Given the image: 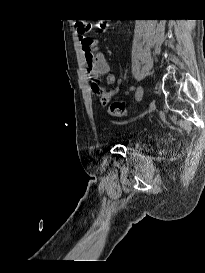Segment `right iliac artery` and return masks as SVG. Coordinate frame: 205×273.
<instances>
[{"label": "right iliac artery", "mask_w": 205, "mask_h": 273, "mask_svg": "<svg viewBox=\"0 0 205 273\" xmlns=\"http://www.w3.org/2000/svg\"><path fill=\"white\" fill-rule=\"evenodd\" d=\"M130 89H131V90H134V87L132 86Z\"/></svg>", "instance_id": "right-iliac-artery-1"}]
</instances>
